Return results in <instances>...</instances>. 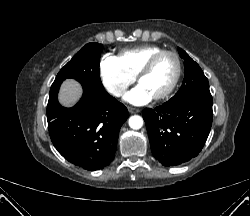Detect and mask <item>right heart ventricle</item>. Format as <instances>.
<instances>
[{
  "label": "right heart ventricle",
  "mask_w": 250,
  "mask_h": 216,
  "mask_svg": "<svg viewBox=\"0 0 250 216\" xmlns=\"http://www.w3.org/2000/svg\"><path fill=\"white\" fill-rule=\"evenodd\" d=\"M162 50L156 45H144L120 52L118 59L122 66L133 76H137L147 61Z\"/></svg>",
  "instance_id": "obj_1"
}]
</instances>
